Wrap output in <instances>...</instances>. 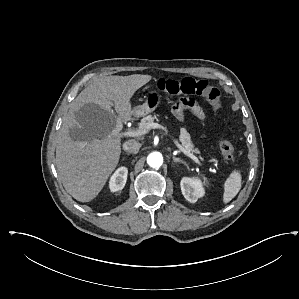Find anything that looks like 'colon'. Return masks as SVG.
<instances>
[{
  "instance_id": "5ec220e1",
  "label": "colon",
  "mask_w": 299,
  "mask_h": 299,
  "mask_svg": "<svg viewBox=\"0 0 299 299\" xmlns=\"http://www.w3.org/2000/svg\"><path fill=\"white\" fill-rule=\"evenodd\" d=\"M157 87L162 92L171 95L201 96L204 97L215 111L221 108V94L219 89L205 79L185 77L182 79L161 78ZM222 156L229 162H234L235 154L231 140L222 136L219 140Z\"/></svg>"
}]
</instances>
